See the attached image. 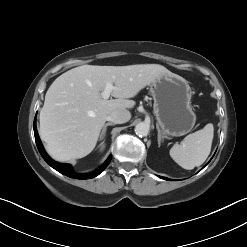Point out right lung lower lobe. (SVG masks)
Listing matches in <instances>:
<instances>
[{
	"label": "right lung lower lobe",
	"mask_w": 247,
	"mask_h": 247,
	"mask_svg": "<svg viewBox=\"0 0 247 247\" xmlns=\"http://www.w3.org/2000/svg\"><path fill=\"white\" fill-rule=\"evenodd\" d=\"M34 135H35V141L37 144V148L41 154V156L43 157V159L51 166L53 167L55 170H57L58 172L71 177V178H75V179H90V178H94L97 175H99L105 168L106 166L109 164L111 157H109L105 163L102 165V167L96 171L95 173H91V174H85V173H76L73 171L71 165L69 164H61V163H57L55 162L53 159H51L48 154L45 152L43 145L39 139L38 133H37V129H36V123H35V119H34Z\"/></svg>",
	"instance_id": "right-lung-lower-lobe-1"
}]
</instances>
